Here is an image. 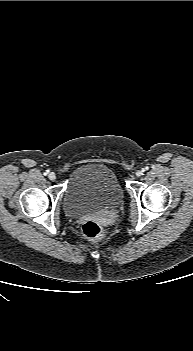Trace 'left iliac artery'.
<instances>
[{
    "instance_id": "obj_1",
    "label": "left iliac artery",
    "mask_w": 193,
    "mask_h": 351,
    "mask_svg": "<svg viewBox=\"0 0 193 351\" xmlns=\"http://www.w3.org/2000/svg\"><path fill=\"white\" fill-rule=\"evenodd\" d=\"M146 170H148V167H145V168L142 169L143 172L146 171Z\"/></svg>"
}]
</instances>
